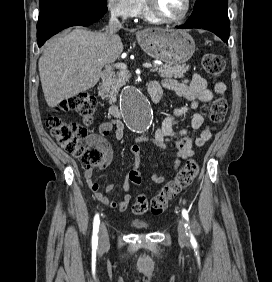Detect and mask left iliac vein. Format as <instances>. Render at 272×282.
Returning <instances> with one entry per match:
<instances>
[{"label":"left iliac vein","instance_id":"1","mask_svg":"<svg viewBox=\"0 0 272 282\" xmlns=\"http://www.w3.org/2000/svg\"><path fill=\"white\" fill-rule=\"evenodd\" d=\"M177 230H178L179 241L183 244H188L189 238L183 219H179Z\"/></svg>","mask_w":272,"mask_h":282}]
</instances>
